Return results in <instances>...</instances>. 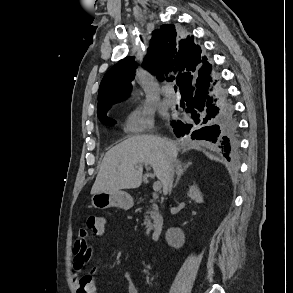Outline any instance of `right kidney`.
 I'll list each match as a JSON object with an SVG mask.
<instances>
[{
  "instance_id": "obj_1",
  "label": "right kidney",
  "mask_w": 293,
  "mask_h": 293,
  "mask_svg": "<svg viewBox=\"0 0 293 293\" xmlns=\"http://www.w3.org/2000/svg\"><path fill=\"white\" fill-rule=\"evenodd\" d=\"M188 196L197 203L203 202V197L196 186H191ZM166 240L173 247H180L184 243V235L179 230L170 229L166 233Z\"/></svg>"
}]
</instances>
